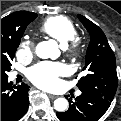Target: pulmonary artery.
<instances>
[{
  "label": "pulmonary artery",
  "mask_w": 121,
  "mask_h": 121,
  "mask_svg": "<svg viewBox=\"0 0 121 121\" xmlns=\"http://www.w3.org/2000/svg\"><path fill=\"white\" fill-rule=\"evenodd\" d=\"M16 75H17V73H16V72L11 73V78L16 77ZM80 94H81V92H80V91H78V92H77V96H79Z\"/></svg>",
  "instance_id": "e3ab8cb5"
}]
</instances>
